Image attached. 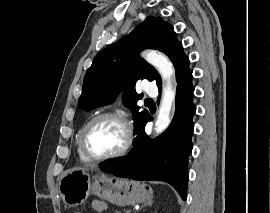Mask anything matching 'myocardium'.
<instances>
[{"label": "myocardium", "mask_w": 270, "mask_h": 213, "mask_svg": "<svg viewBox=\"0 0 270 213\" xmlns=\"http://www.w3.org/2000/svg\"><path fill=\"white\" fill-rule=\"evenodd\" d=\"M110 118L115 119L121 122L126 131V139L124 145L116 152L105 155V156H94L92 155L86 146V136L90 127L97 122L98 120ZM133 142V127L130 121L121 113L114 112V111H104L98 114H95L91 117L86 124L83 126L81 133H80V148L83 155L90 161V162H103L108 160H113L124 156L130 149Z\"/></svg>", "instance_id": "1"}]
</instances>
